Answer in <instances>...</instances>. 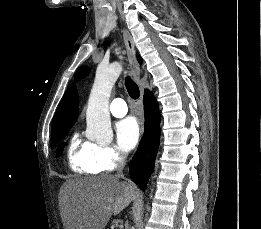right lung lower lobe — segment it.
Instances as JSON below:
<instances>
[{"mask_svg": "<svg viewBox=\"0 0 261 229\" xmlns=\"http://www.w3.org/2000/svg\"><path fill=\"white\" fill-rule=\"evenodd\" d=\"M145 131L138 150L130 163V176L143 191L154 169L160 138V114L158 103L153 94L145 90Z\"/></svg>", "mask_w": 261, "mask_h": 229, "instance_id": "obj_1", "label": "right lung lower lobe"}]
</instances>
